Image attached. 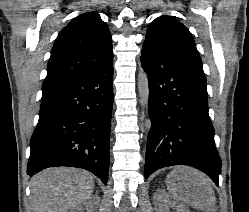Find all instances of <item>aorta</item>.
Listing matches in <instances>:
<instances>
[{"instance_id":"762f6f07","label":"aorta","mask_w":249,"mask_h":212,"mask_svg":"<svg viewBox=\"0 0 249 212\" xmlns=\"http://www.w3.org/2000/svg\"><path fill=\"white\" fill-rule=\"evenodd\" d=\"M138 92L141 104L147 107L149 102V79L142 70L138 73Z\"/></svg>"}]
</instances>
